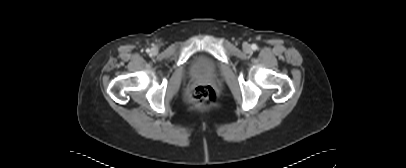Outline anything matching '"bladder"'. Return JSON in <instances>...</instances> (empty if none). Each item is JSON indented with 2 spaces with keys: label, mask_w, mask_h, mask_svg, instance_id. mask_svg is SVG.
Wrapping results in <instances>:
<instances>
[{
  "label": "bladder",
  "mask_w": 406,
  "mask_h": 168,
  "mask_svg": "<svg viewBox=\"0 0 406 168\" xmlns=\"http://www.w3.org/2000/svg\"><path fill=\"white\" fill-rule=\"evenodd\" d=\"M190 72L196 77L212 76L217 72V65L211 58L199 56L193 60Z\"/></svg>",
  "instance_id": "bladder-1"
}]
</instances>
